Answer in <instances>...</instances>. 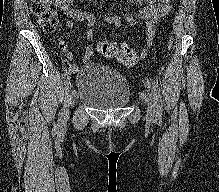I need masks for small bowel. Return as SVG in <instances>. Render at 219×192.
<instances>
[{
	"label": "small bowel",
	"instance_id": "small-bowel-1",
	"mask_svg": "<svg viewBox=\"0 0 219 192\" xmlns=\"http://www.w3.org/2000/svg\"><path fill=\"white\" fill-rule=\"evenodd\" d=\"M138 3L145 2V5L136 14L132 13H121L113 16H104V19L115 26H119L121 18H125L128 24L134 25L136 23H141L145 28L144 38L146 41V47L141 51V56L146 57L148 49L152 46L156 23L162 18L170 14L173 10L171 0H136ZM52 4L59 10L63 11L65 16V24L69 29L76 28L83 23L86 24L87 30L85 32L86 37L89 40L94 38V25L95 17L94 15L75 10L72 8L73 0H51ZM103 14V11L101 12ZM68 37V33H66ZM59 47L63 50L68 58L72 60L74 53L69 49L65 40L59 42ZM95 50V45H90L83 56V62L90 61L92 59ZM71 70H76V66L70 65Z\"/></svg>",
	"mask_w": 219,
	"mask_h": 192
}]
</instances>
